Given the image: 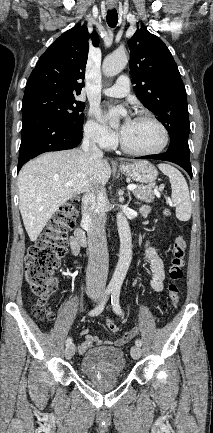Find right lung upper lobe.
<instances>
[{
    "mask_svg": "<svg viewBox=\"0 0 213 433\" xmlns=\"http://www.w3.org/2000/svg\"><path fill=\"white\" fill-rule=\"evenodd\" d=\"M93 45H99L98 34L93 31ZM89 34L86 26L76 25L58 37L41 55L32 71L24 96L37 93L79 95L85 78L88 58Z\"/></svg>",
    "mask_w": 213,
    "mask_h": 433,
    "instance_id": "right-lung-upper-lobe-1",
    "label": "right lung upper lobe"
}]
</instances>
